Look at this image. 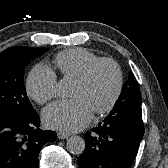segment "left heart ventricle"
Here are the masks:
<instances>
[{"label": "left heart ventricle", "instance_id": "b2bd125f", "mask_svg": "<svg viewBox=\"0 0 168 168\" xmlns=\"http://www.w3.org/2000/svg\"><path fill=\"white\" fill-rule=\"evenodd\" d=\"M115 85L114 69L107 64L100 65L89 82H75L72 97L84 98L94 110L103 106L110 98Z\"/></svg>", "mask_w": 168, "mask_h": 168}]
</instances>
